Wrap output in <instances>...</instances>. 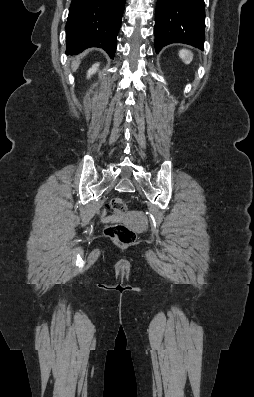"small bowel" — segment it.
Here are the masks:
<instances>
[{
  "mask_svg": "<svg viewBox=\"0 0 254 397\" xmlns=\"http://www.w3.org/2000/svg\"><path fill=\"white\" fill-rule=\"evenodd\" d=\"M131 217H139L137 213H132L130 214ZM123 219V216L120 215H107L106 212H103L102 214V221L104 223H112V222H118Z\"/></svg>",
  "mask_w": 254,
  "mask_h": 397,
  "instance_id": "c3829d8e",
  "label": "small bowel"
}]
</instances>
